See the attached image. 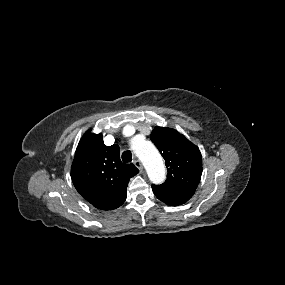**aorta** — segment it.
<instances>
[{"mask_svg": "<svg viewBox=\"0 0 285 285\" xmlns=\"http://www.w3.org/2000/svg\"><path fill=\"white\" fill-rule=\"evenodd\" d=\"M132 148L145 166L150 181L161 184L165 181L166 171L162 157L155 146L141 138H134Z\"/></svg>", "mask_w": 285, "mask_h": 285, "instance_id": "762f6f07", "label": "aorta"}]
</instances>
